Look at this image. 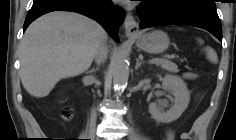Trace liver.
<instances>
[{"label": "liver", "mask_w": 236, "mask_h": 140, "mask_svg": "<svg viewBox=\"0 0 236 140\" xmlns=\"http://www.w3.org/2000/svg\"><path fill=\"white\" fill-rule=\"evenodd\" d=\"M106 40L101 25L81 14L56 11L41 16L28 27L20 44L23 87L34 97H46L61 79L89 69Z\"/></svg>", "instance_id": "obj_1"}]
</instances>
